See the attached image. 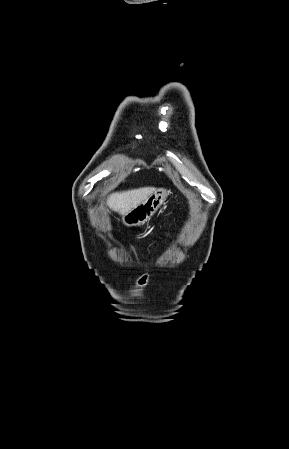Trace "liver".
<instances>
[{"label": "liver", "mask_w": 289, "mask_h": 449, "mask_svg": "<svg viewBox=\"0 0 289 449\" xmlns=\"http://www.w3.org/2000/svg\"><path fill=\"white\" fill-rule=\"evenodd\" d=\"M154 191L153 187H144L113 193L108 197L107 204L112 210L123 215L145 201Z\"/></svg>", "instance_id": "1"}]
</instances>
